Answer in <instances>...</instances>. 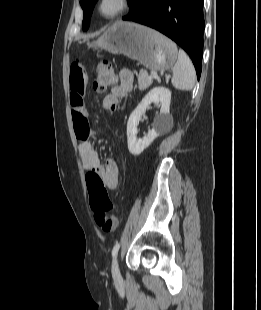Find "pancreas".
Instances as JSON below:
<instances>
[{
  "label": "pancreas",
  "instance_id": "cf45deb5",
  "mask_svg": "<svg viewBox=\"0 0 261 310\" xmlns=\"http://www.w3.org/2000/svg\"><path fill=\"white\" fill-rule=\"evenodd\" d=\"M153 82V79L150 78L147 71L141 70L138 75V85L140 90L148 88Z\"/></svg>",
  "mask_w": 261,
  "mask_h": 310
}]
</instances>
